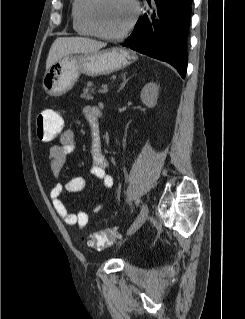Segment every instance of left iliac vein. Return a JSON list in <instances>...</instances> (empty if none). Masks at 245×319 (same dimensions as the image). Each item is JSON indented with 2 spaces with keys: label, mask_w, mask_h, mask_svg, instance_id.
Segmentation results:
<instances>
[{
  "label": "left iliac vein",
  "mask_w": 245,
  "mask_h": 319,
  "mask_svg": "<svg viewBox=\"0 0 245 319\" xmlns=\"http://www.w3.org/2000/svg\"><path fill=\"white\" fill-rule=\"evenodd\" d=\"M149 214V208L147 204L143 203L140 208V213L136 219V221L133 223L131 228L128 231V234H133L147 219Z\"/></svg>",
  "instance_id": "1"
}]
</instances>
